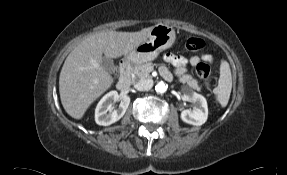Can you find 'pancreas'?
<instances>
[{
  "label": "pancreas",
  "mask_w": 287,
  "mask_h": 175,
  "mask_svg": "<svg viewBox=\"0 0 287 175\" xmlns=\"http://www.w3.org/2000/svg\"><path fill=\"white\" fill-rule=\"evenodd\" d=\"M152 66L153 64L150 62L136 65L134 68H132L130 74L132 75L134 80L150 78L151 76L149 74L150 72L149 68ZM179 82L183 84L186 83L187 85L198 91H200L201 89V87L198 84V81L189 74L181 76L179 78Z\"/></svg>",
  "instance_id": "cf45deb5"
}]
</instances>
